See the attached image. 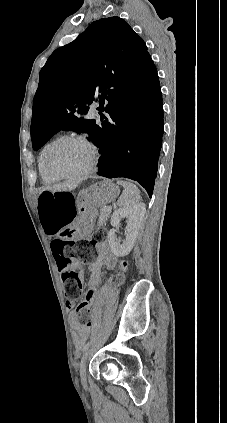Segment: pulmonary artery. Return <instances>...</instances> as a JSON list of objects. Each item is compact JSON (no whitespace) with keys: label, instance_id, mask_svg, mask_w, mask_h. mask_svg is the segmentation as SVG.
Instances as JSON below:
<instances>
[{"label":"pulmonary artery","instance_id":"pulmonary-artery-1","mask_svg":"<svg viewBox=\"0 0 227 423\" xmlns=\"http://www.w3.org/2000/svg\"><path fill=\"white\" fill-rule=\"evenodd\" d=\"M95 114H96V112H95V110H94V109H91V110H90V112H89V111H84V112L82 113V118H83L84 120H89L91 117H94V116H95Z\"/></svg>","mask_w":227,"mask_h":423}]
</instances>
